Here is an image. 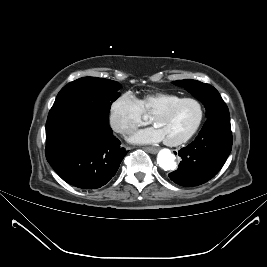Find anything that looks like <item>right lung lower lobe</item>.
<instances>
[{
    "instance_id": "1",
    "label": "right lung lower lobe",
    "mask_w": 267,
    "mask_h": 267,
    "mask_svg": "<svg viewBox=\"0 0 267 267\" xmlns=\"http://www.w3.org/2000/svg\"><path fill=\"white\" fill-rule=\"evenodd\" d=\"M113 135L109 120L69 110L46 122V158L67 183L97 189L116 174L127 151Z\"/></svg>"
}]
</instances>
